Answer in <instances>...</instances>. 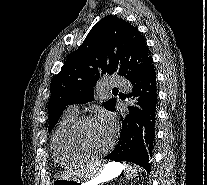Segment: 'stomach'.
Listing matches in <instances>:
<instances>
[{"mask_svg": "<svg viewBox=\"0 0 207 185\" xmlns=\"http://www.w3.org/2000/svg\"><path fill=\"white\" fill-rule=\"evenodd\" d=\"M124 170V165L116 162H109L103 167L100 173L90 181L80 183L68 178H58L54 180L53 185H99L118 177Z\"/></svg>", "mask_w": 207, "mask_h": 185, "instance_id": "0dacf381", "label": "stomach"}]
</instances>
